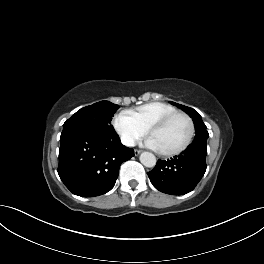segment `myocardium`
I'll use <instances>...</instances> for the list:
<instances>
[{
  "instance_id": "1",
  "label": "myocardium",
  "mask_w": 264,
  "mask_h": 264,
  "mask_svg": "<svg viewBox=\"0 0 264 264\" xmlns=\"http://www.w3.org/2000/svg\"><path fill=\"white\" fill-rule=\"evenodd\" d=\"M177 117H182L184 118L188 125H189V133L188 136L186 138V140L177 148H174L172 150H168V151H162L159 150V152L162 155L165 156H174L177 154L182 153L183 151H185L191 144L194 135H195V125H194V121L193 119L185 112H179L176 111L174 113H171L165 117H163L161 120H159L158 122H156L149 130H148V134L151 136L152 134H154L155 132L163 129L170 121H172L173 119L177 118Z\"/></svg>"
}]
</instances>
